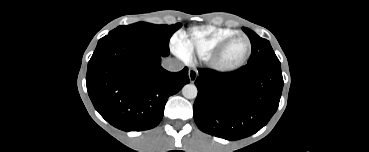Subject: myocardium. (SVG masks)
<instances>
[{"mask_svg":"<svg viewBox=\"0 0 369 152\" xmlns=\"http://www.w3.org/2000/svg\"><path fill=\"white\" fill-rule=\"evenodd\" d=\"M243 38L248 43V49L245 56L237 63L231 65H224L221 63V57L227 47L236 39ZM252 42L250 38L243 34V33H236L224 39L220 42L211 52L210 54L204 59L207 66L219 73H231L240 68H242L249 60L251 53H252Z\"/></svg>","mask_w":369,"mask_h":152,"instance_id":"f54148a6","label":"myocardium"}]
</instances>
